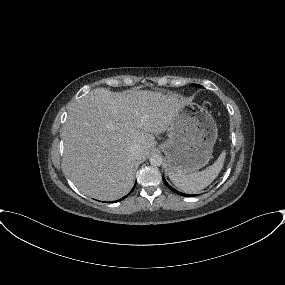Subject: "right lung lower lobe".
<instances>
[{"mask_svg":"<svg viewBox=\"0 0 285 285\" xmlns=\"http://www.w3.org/2000/svg\"><path fill=\"white\" fill-rule=\"evenodd\" d=\"M133 190H134V188H133L131 191H133ZM126 197H127V195H126L125 197L119 199L118 201H121V200H123V199L126 198Z\"/></svg>","mask_w":285,"mask_h":285,"instance_id":"obj_1","label":"right lung lower lobe"}]
</instances>
